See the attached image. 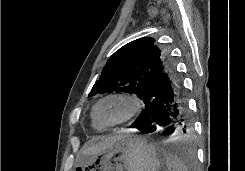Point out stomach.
<instances>
[{"label": "stomach", "instance_id": "stomach-1", "mask_svg": "<svg viewBox=\"0 0 245 171\" xmlns=\"http://www.w3.org/2000/svg\"><path fill=\"white\" fill-rule=\"evenodd\" d=\"M162 151L139 136L123 134L110 148L83 156L73 171H159Z\"/></svg>", "mask_w": 245, "mask_h": 171}]
</instances>
